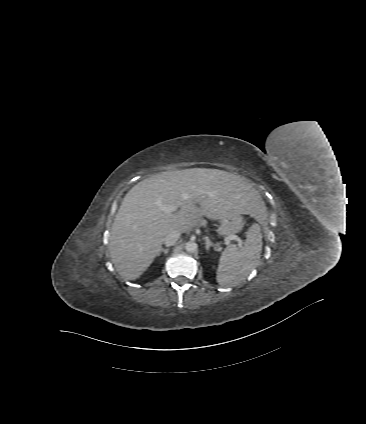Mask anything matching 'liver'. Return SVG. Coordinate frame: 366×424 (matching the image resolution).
<instances>
[{
    "mask_svg": "<svg viewBox=\"0 0 366 424\" xmlns=\"http://www.w3.org/2000/svg\"><path fill=\"white\" fill-rule=\"evenodd\" d=\"M161 206L180 210L166 214ZM265 209L259 192L236 174L192 168L154 175L126 194L111 229V261L123 278L135 280L153 262L168 232L189 233L204 216L218 220L248 214L261 220Z\"/></svg>",
    "mask_w": 366,
    "mask_h": 424,
    "instance_id": "6515ba94",
    "label": "liver"
}]
</instances>
